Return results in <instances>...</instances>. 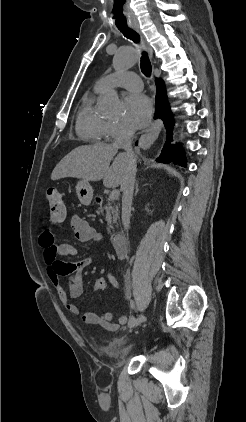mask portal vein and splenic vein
I'll return each mask as SVG.
<instances>
[{"mask_svg":"<svg viewBox=\"0 0 246 422\" xmlns=\"http://www.w3.org/2000/svg\"><path fill=\"white\" fill-rule=\"evenodd\" d=\"M119 194H120V192L118 190H112L110 195H109V198L111 200L117 199L119 197Z\"/></svg>","mask_w":246,"mask_h":422,"instance_id":"portal-vein-and-splenic-vein-1","label":"portal vein and splenic vein"}]
</instances>
